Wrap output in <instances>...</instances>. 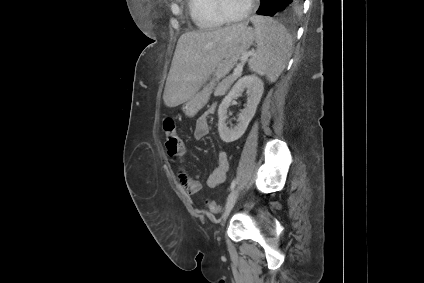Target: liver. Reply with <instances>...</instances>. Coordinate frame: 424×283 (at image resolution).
Returning a JSON list of instances; mask_svg holds the SVG:
<instances>
[{"label": "liver", "mask_w": 424, "mask_h": 283, "mask_svg": "<svg viewBox=\"0 0 424 283\" xmlns=\"http://www.w3.org/2000/svg\"><path fill=\"white\" fill-rule=\"evenodd\" d=\"M247 23L204 31H188L178 40L163 94L167 107L195 95L212 74L227 48Z\"/></svg>", "instance_id": "6515ba94"}]
</instances>
